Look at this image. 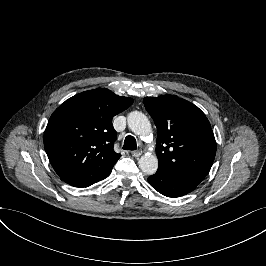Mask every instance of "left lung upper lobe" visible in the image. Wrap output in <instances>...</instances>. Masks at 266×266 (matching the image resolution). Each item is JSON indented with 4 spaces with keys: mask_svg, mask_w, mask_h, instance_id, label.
<instances>
[{
    "mask_svg": "<svg viewBox=\"0 0 266 266\" xmlns=\"http://www.w3.org/2000/svg\"><path fill=\"white\" fill-rule=\"evenodd\" d=\"M157 127L159 170L198 185L208 174L216 154V141L204 113L175 95L144 98Z\"/></svg>",
    "mask_w": 266,
    "mask_h": 266,
    "instance_id": "5c2ea615",
    "label": "left lung upper lobe"
}]
</instances>
